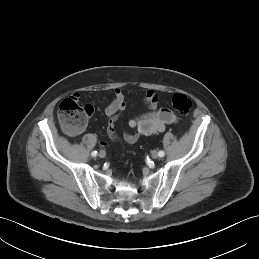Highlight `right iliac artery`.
<instances>
[{
	"instance_id": "obj_1",
	"label": "right iliac artery",
	"mask_w": 259,
	"mask_h": 259,
	"mask_svg": "<svg viewBox=\"0 0 259 259\" xmlns=\"http://www.w3.org/2000/svg\"><path fill=\"white\" fill-rule=\"evenodd\" d=\"M91 155L94 156V157L97 156V151H93V152L91 153Z\"/></svg>"
}]
</instances>
